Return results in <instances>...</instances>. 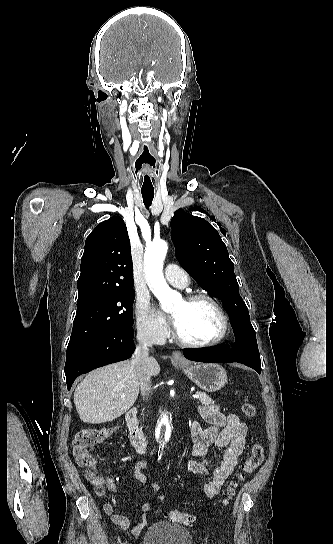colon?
Segmentation results:
<instances>
[{
  "label": "colon",
  "mask_w": 333,
  "mask_h": 544,
  "mask_svg": "<svg viewBox=\"0 0 333 544\" xmlns=\"http://www.w3.org/2000/svg\"><path fill=\"white\" fill-rule=\"evenodd\" d=\"M241 411L247 417H254L256 414V408L251 403H243ZM115 428H83L78 431L73 442V452L77 464L86 469L87 477L92 484L98 483L101 479L96 473L97 461L91 454L90 449L109 437ZM264 459V449L259 443H255L250 450V453L242 465L240 474L238 475L239 481H244L249 477L262 463ZM238 483L231 484L226 491V502H228L236 492ZM166 517L177 523L184 525H191L194 521L193 515L188 512L180 510H170L166 514Z\"/></svg>",
  "instance_id": "obj_1"
}]
</instances>
